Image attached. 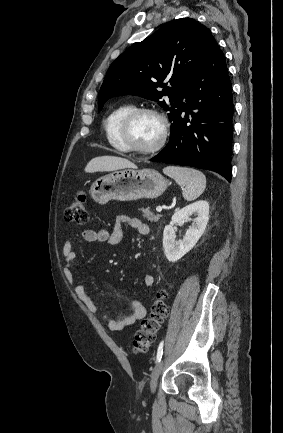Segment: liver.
<instances>
[{
    "instance_id": "obj_1",
    "label": "liver",
    "mask_w": 283,
    "mask_h": 433,
    "mask_svg": "<svg viewBox=\"0 0 283 433\" xmlns=\"http://www.w3.org/2000/svg\"><path fill=\"white\" fill-rule=\"evenodd\" d=\"M119 168H138L134 162L121 156H95L85 166L86 172H103V170H119Z\"/></svg>"
}]
</instances>
